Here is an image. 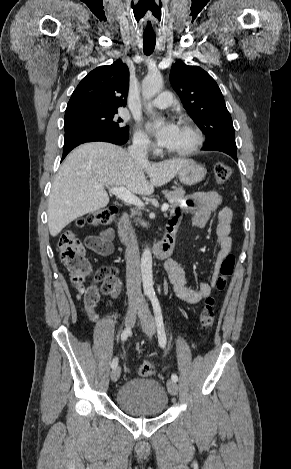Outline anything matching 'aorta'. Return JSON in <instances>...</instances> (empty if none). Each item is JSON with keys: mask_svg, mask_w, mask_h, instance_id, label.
<instances>
[{"mask_svg": "<svg viewBox=\"0 0 291 469\" xmlns=\"http://www.w3.org/2000/svg\"><path fill=\"white\" fill-rule=\"evenodd\" d=\"M163 87V78L160 74L147 75L142 83V96L144 100H151ZM148 113H152V108H147ZM141 275L143 289L146 294L154 293L153 274H152V254L149 248H146L141 257Z\"/></svg>", "mask_w": 291, "mask_h": 469, "instance_id": "762f6f07", "label": "aorta"}]
</instances>
